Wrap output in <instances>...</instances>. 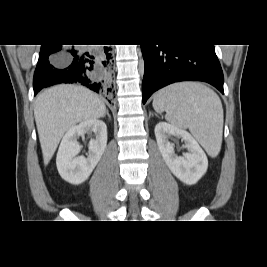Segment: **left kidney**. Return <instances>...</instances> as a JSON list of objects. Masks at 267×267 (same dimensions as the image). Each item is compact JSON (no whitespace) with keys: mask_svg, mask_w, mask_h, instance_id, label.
<instances>
[{"mask_svg":"<svg viewBox=\"0 0 267 267\" xmlns=\"http://www.w3.org/2000/svg\"><path fill=\"white\" fill-rule=\"evenodd\" d=\"M157 145L162 157L171 172L187 185L196 184L206 173L208 159L197 141L186 130L180 129L166 122H159L155 126ZM181 138L188 150L183 156L174 151V144L170 138Z\"/></svg>","mask_w":267,"mask_h":267,"instance_id":"left-kidney-1","label":"left kidney"}]
</instances>
